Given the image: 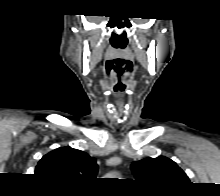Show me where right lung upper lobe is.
<instances>
[{"mask_svg": "<svg viewBox=\"0 0 220 196\" xmlns=\"http://www.w3.org/2000/svg\"><path fill=\"white\" fill-rule=\"evenodd\" d=\"M98 165L87 153L71 147H60L39 161L35 174L63 184H85L96 178Z\"/></svg>", "mask_w": 220, "mask_h": 196, "instance_id": "right-lung-upper-lobe-1", "label": "right lung upper lobe"}]
</instances>
